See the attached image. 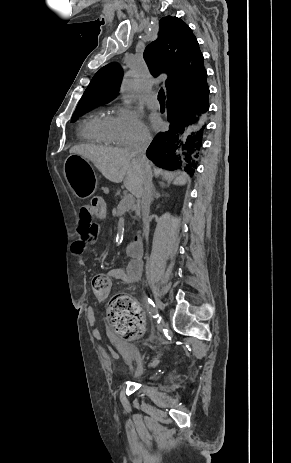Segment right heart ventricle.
Segmentation results:
<instances>
[{
	"label": "right heart ventricle",
	"mask_w": 291,
	"mask_h": 463,
	"mask_svg": "<svg viewBox=\"0 0 291 463\" xmlns=\"http://www.w3.org/2000/svg\"><path fill=\"white\" fill-rule=\"evenodd\" d=\"M113 116L106 113H96L80 126L79 134L84 141L103 145L117 144L112 129Z\"/></svg>",
	"instance_id": "1"
}]
</instances>
